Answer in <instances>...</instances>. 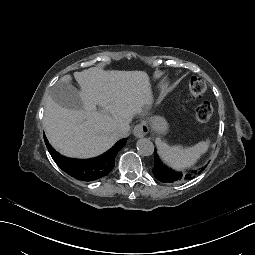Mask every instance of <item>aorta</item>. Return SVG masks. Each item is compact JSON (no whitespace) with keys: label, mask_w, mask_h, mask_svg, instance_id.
I'll list each match as a JSON object with an SVG mask.
<instances>
[{"label":"aorta","mask_w":255,"mask_h":255,"mask_svg":"<svg viewBox=\"0 0 255 255\" xmlns=\"http://www.w3.org/2000/svg\"><path fill=\"white\" fill-rule=\"evenodd\" d=\"M138 152L143 156H151L154 152V145L151 140L141 138L136 143Z\"/></svg>","instance_id":"aorta-1"}]
</instances>
